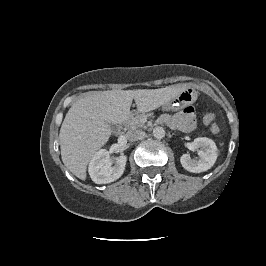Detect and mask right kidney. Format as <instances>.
<instances>
[{
    "instance_id": "obj_1",
    "label": "right kidney",
    "mask_w": 266,
    "mask_h": 266,
    "mask_svg": "<svg viewBox=\"0 0 266 266\" xmlns=\"http://www.w3.org/2000/svg\"><path fill=\"white\" fill-rule=\"evenodd\" d=\"M127 157L120 156L112 166L110 153L101 149L95 153L89 163V175L96 184H107L116 181L125 170Z\"/></svg>"
}]
</instances>
